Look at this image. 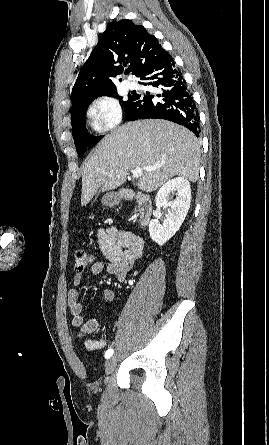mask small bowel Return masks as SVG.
Wrapping results in <instances>:
<instances>
[{
	"label": "small bowel",
	"mask_w": 269,
	"mask_h": 445,
	"mask_svg": "<svg viewBox=\"0 0 269 445\" xmlns=\"http://www.w3.org/2000/svg\"><path fill=\"white\" fill-rule=\"evenodd\" d=\"M97 238L107 262L93 263L88 272L91 275H99L106 271L115 275L118 281H125L128 272L142 253V239L131 232L118 230L115 227L100 229ZM82 282L83 274L76 273L73 278L74 288L68 292V306L72 315V323L79 328V337L94 333L100 328V323L95 318L84 320L83 305L78 299V287ZM100 299L102 302H113L116 300V293L111 289H104L101 292ZM106 343V339H88L85 341V348L89 351H95L104 348Z\"/></svg>",
	"instance_id": "1"
}]
</instances>
